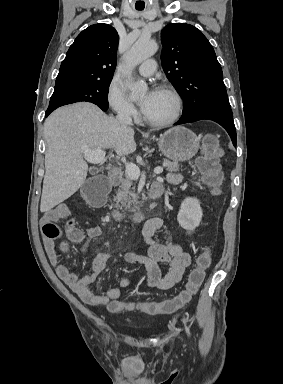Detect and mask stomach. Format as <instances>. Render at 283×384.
<instances>
[{
  "instance_id": "0dacf381",
  "label": "stomach",
  "mask_w": 283,
  "mask_h": 384,
  "mask_svg": "<svg viewBox=\"0 0 283 384\" xmlns=\"http://www.w3.org/2000/svg\"><path fill=\"white\" fill-rule=\"evenodd\" d=\"M199 138L194 132L177 126V128H170L165 134H162L158 140V146L169 160L173 162H186L191 160L199 150Z\"/></svg>"
}]
</instances>
